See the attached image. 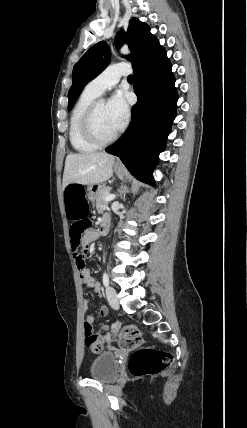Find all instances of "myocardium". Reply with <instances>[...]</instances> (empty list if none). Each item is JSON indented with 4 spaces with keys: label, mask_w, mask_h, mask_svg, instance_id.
<instances>
[{
    "label": "myocardium",
    "mask_w": 247,
    "mask_h": 428,
    "mask_svg": "<svg viewBox=\"0 0 247 428\" xmlns=\"http://www.w3.org/2000/svg\"><path fill=\"white\" fill-rule=\"evenodd\" d=\"M103 102V100L97 99L95 100L87 109V111L85 112L83 118H82V132L84 134V136L92 143H94L95 145L101 147V146H106L111 144L112 142H114L118 135H119V130L117 129L109 138L103 139L101 138L95 128H94V116L95 113L99 107V105Z\"/></svg>",
    "instance_id": "1"
}]
</instances>
